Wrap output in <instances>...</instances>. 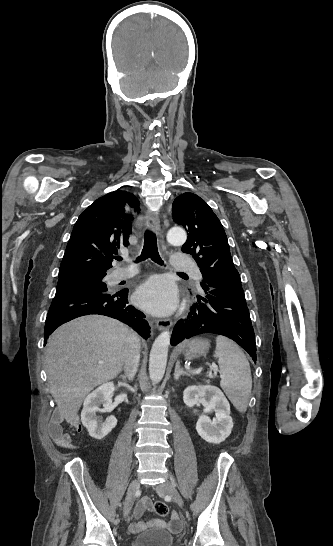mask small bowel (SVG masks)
I'll return each instance as SVG.
<instances>
[{
	"label": "small bowel",
	"mask_w": 333,
	"mask_h": 546,
	"mask_svg": "<svg viewBox=\"0 0 333 546\" xmlns=\"http://www.w3.org/2000/svg\"><path fill=\"white\" fill-rule=\"evenodd\" d=\"M74 426L77 427L78 430H80V425L76 422L74 423ZM49 431L50 435L53 439V441L65 448H74L75 446L72 444L71 437L64 432L63 426H62V418L60 417H53L49 423ZM151 510V501L148 498H143L135 512V517L139 518L144 511ZM145 524L139 520L133 522L130 526V531L133 533H136L143 529ZM170 526L174 530H178L180 528V524L177 521L176 513H172V522Z\"/></svg>",
	"instance_id": "obj_1"
}]
</instances>
